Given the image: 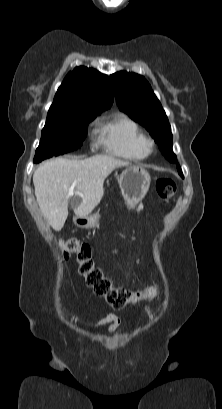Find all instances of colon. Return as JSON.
<instances>
[{"label": "colon", "mask_w": 222, "mask_h": 409, "mask_svg": "<svg viewBox=\"0 0 222 409\" xmlns=\"http://www.w3.org/2000/svg\"><path fill=\"white\" fill-rule=\"evenodd\" d=\"M156 192L163 203H168L176 193V183L171 178L163 177L156 181ZM62 256L68 258L74 255L79 264V272L95 294L104 297L106 302L116 310L130 304L151 300L156 295L155 289L145 292H133L113 285L110 279L104 276L102 270L96 266L92 251L88 244L77 239H67L60 243Z\"/></svg>", "instance_id": "obj_1"}]
</instances>
